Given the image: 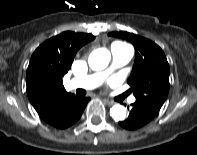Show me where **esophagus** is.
<instances>
[{
    "label": "esophagus",
    "mask_w": 197,
    "mask_h": 155,
    "mask_svg": "<svg viewBox=\"0 0 197 155\" xmlns=\"http://www.w3.org/2000/svg\"><path fill=\"white\" fill-rule=\"evenodd\" d=\"M103 102H104L106 105H108V106H111V105L114 104L113 101H109V100H107V99H103Z\"/></svg>",
    "instance_id": "1"
}]
</instances>
